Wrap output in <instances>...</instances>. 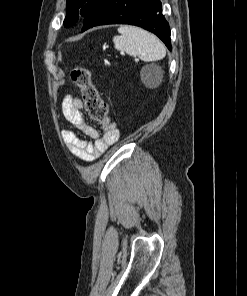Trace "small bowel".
Returning a JSON list of instances; mask_svg holds the SVG:
<instances>
[{
  "label": "small bowel",
  "instance_id": "c3829d8e",
  "mask_svg": "<svg viewBox=\"0 0 247 296\" xmlns=\"http://www.w3.org/2000/svg\"><path fill=\"white\" fill-rule=\"evenodd\" d=\"M84 103L79 97L66 95L62 101V112L67 121L79 132L91 138L87 141L79 137L75 132L63 130L62 137L69 151L85 162H91L101 156L109 146L117 142L119 131L116 126L104 136L88 124L84 116Z\"/></svg>",
  "mask_w": 247,
  "mask_h": 296
}]
</instances>
